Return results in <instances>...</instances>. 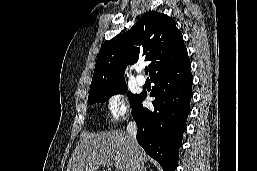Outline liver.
<instances>
[{
  "label": "liver",
  "instance_id": "6515ba94",
  "mask_svg": "<svg viewBox=\"0 0 257 171\" xmlns=\"http://www.w3.org/2000/svg\"><path fill=\"white\" fill-rule=\"evenodd\" d=\"M130 150L129 135L123 131L82 133L81 141L73 151L66 171H95L101 165H115V171H131ZM137 152L143 166L148 157L139 145Z\"/></svg>",
  "mask_w": 257,
  "mask_h": 171
}]
</instances>
